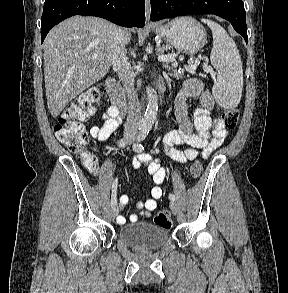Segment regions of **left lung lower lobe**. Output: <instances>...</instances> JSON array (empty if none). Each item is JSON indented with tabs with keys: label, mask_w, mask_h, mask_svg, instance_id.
<instances>
[{
	"label": "left lung lower lobe",
	"mask_w": 288,
	"mask_h": 293,
	"mask_svg": "<svg viewBox=\"0 0 288 293\" xmlns=\"http://www.w3.org/2000/svg\"><path fill=\"white\" fill-rule=\"evenodd\" d=\"M193 14H215L228 20L248 42L242 0H151L152 21Z\"/></svg>",
	"instance_id": "1"
}]
</instances>
